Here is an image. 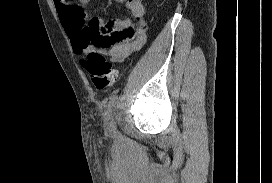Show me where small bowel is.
Segmentation results:
<instances>
[{
  "label": "small bowel",
  "mask_w": 272,
  "mask_h": 183,
  "mask_svg": "<svg viewBox=\"0 0 272 183\" xmlns=\"http://www.w3.org/2000/svg\"><path fill=\"white\" fill-rule=\"evenodd\" d=\"M124 3L130 18L105 22L101 17H89L86 6L90 0H54L61 23L76 53L98 52L120 63L139 51L147 39L143 0H116Z\"/></svg>",
  "instance_id": "1"
}]
</instances>
